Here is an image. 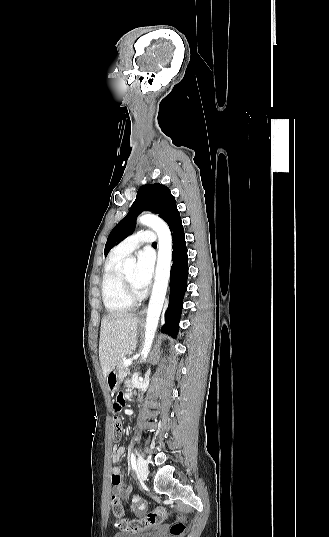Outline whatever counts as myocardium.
I'll list each match as a JSON object with an SVG mask.
<instances>
[{
    "instance_id": "1",
    "label": "myocardium",
    "mask_w": 329,
    "mask_h": 537,
    "mask_svg": "<svg viewBox=\"0 0 329 537\" xmlns=\"http://www.w3.org/2000/svg\"><path fill=\"white\" fill-rule=\"evenodd\" d=\"M120 279L122 284V289L124 291L125 296L132 302H136L142 298V295L139 293H136L131 285L129 284L128 280L126 279L124 273H120Z\"/></svg>"
}]
</instances>
